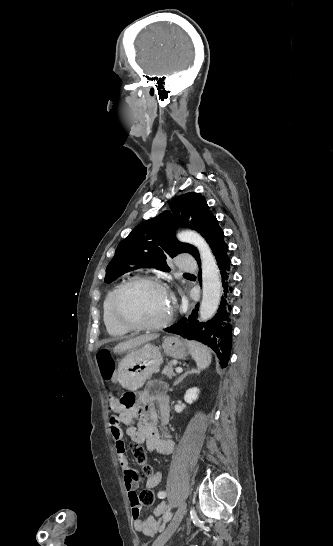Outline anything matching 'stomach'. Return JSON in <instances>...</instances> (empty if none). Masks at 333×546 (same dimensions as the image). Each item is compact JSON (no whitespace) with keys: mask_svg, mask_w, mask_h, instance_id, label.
<instances>
[{"mask_svg":"<svg viewBox=\"0 0 333 546\" xmlns=\"http://www.w3.org/2000/svg\"><path fill=\"white\" fill-rule=\"evenodd\" d=\"M162 348L166 355L175 359H182L190 353L188 344L176 336L164 337ZM162 362L160 349L145 344L129 351L118 363V380L124 388L136 391L159 370Z\"/></svg>","mask_w":333,"mask_h":546,"instance_id":"1","label":"stomach"}]
</instances>
